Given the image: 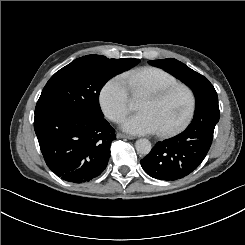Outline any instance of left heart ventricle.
I'll return each instance as SVG.
<instances>
[{"label":"left heart ventricle","instance_id":"1","mask_svg":"<svg viewBox=\"0 0 245 245\" xmlns=\"http://www.w3.org/2000/svg\"><path fill=\"white\" fill-rule=\"evenodd\" d=\"M188 100L183 90H177L163 101L154 96H141L137 110L148 112L156 121L159 129H165L178 122L186 112Z\"/></svg>","mask_w":245,"mask_h":245}]
</instances>
